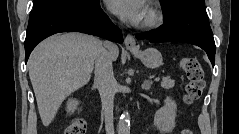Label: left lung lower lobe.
Returning a JSON list of instances; mask_svg holds the SVG:
<instances>
[{
	"mask_svg": "<svg viewBox=\"0 0 239 134\" xmlns=\"http://www.w3.org/2000/svg\"><path fill=\"white\" fill-rule=\"evenodd\" d=\"M136 38L147 39L151 43L184 42L197 45L207 53L214 66L216 46L203 5H185L164 25L154 31L138 33Z\"/></svg>",
	"mask_w": 239,
	"mask_h": 134,
	"instance_id": "left-lung-lower-lobe-1",
	"label": "left lung lower lobe"
}]
</instances>
